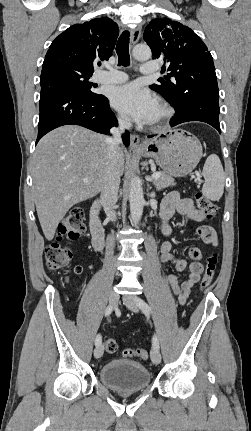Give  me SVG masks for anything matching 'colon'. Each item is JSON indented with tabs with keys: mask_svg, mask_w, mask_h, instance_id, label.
<instances>
[{
	"mask_svg": "<svg viewBox=\"0 0 251 431\" xmlns=\"http://www.w3.org/2000/svg\"><path fill=\"white\" fill-rule=\"evenodd\" d=\"M197 205L202 213L207 218H214L217 214V206L206 198L203 194L197 193L195 195ZM83 219L84 211L80 207H73L66 214L62 222L58 227V238L50 243L45 249L46 265L49 271L56 272L69 265L72 259L71 249L63 245L61 240L63 238L67 240L78 239L83 232ZM218 265L217 253L210 254L206 259V267L203 277L200 282L201 290H205L213 282ZM73 272L77 275L82 273L81 266H75ZM105 350L109 353H113L117 350V343L114 339H107L104 342ZM123 357H138L142 360H147L149 353L143 348H127L122 351Z\"/></svg>",
	"mask_w": 251,
	"mask_h": 431,
	"instance_id": "1",
	"label": "colon"
}]
</instances>
